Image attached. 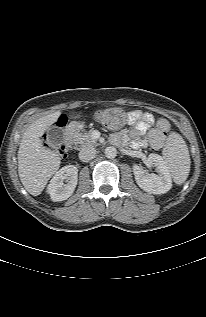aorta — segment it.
Returning a JSON list of instances; mask_svg holds the SVG:
<instances>
[{"instance_id": "obj_1", "label": "aorta", "mask_w": 206, "mask_h": 317, "mask_svg": "<svg viewBox=\"0 0 206 317\" xmlns=\"http://www.w3.org/2000/svg\"><path fill=\"white\" fill-rule=\"evenodd\" d=\"M116 155H117V149L115 147L109 146L105 149V156L107 158L112 159V158H115Z\"/></svg>"}]
</instances>
